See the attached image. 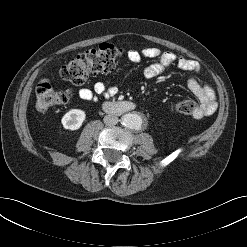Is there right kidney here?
I'll return each mask as SVG.
<instances>
[{
	"instance_id": "obj_1",
	"label": "right kidney",
	"mask_w": 247,
	"mask_h": 247,
	"mask_svg": "<svg viewBox=\"0 0 247 247\" xmlns=\"http://www.w3.org/2000/svg\"><path fill=\"white\" fill-rule=\"evenodd\" d=\"M85 118L86 114L83 110L72 109L62 117L61 122L65 129L77 130L82 126Z\"/></svg>"
}]
</instances>
